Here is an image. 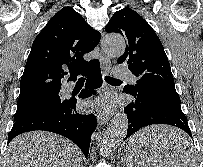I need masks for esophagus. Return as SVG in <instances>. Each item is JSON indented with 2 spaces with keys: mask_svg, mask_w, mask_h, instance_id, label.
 <instances>
[{
  "mask_svg": "<svg viewBox=\"0 0 203 167\" xmlns=\"http://www.w3.org/2000/svg\"><path fill=\"white\" fill-rule=\"evenodd\" d=\"M100 63H101L103 73L105 75L108 74L110 67H111V61L104 53H101ZM108 89H109L108 86L106 84H104V91H108ZM111 117H112V113L111 114H99L97 116L98 124L100 126L106 124L110 120Z\"/></svg>",
  "mask_w": 203,
  "mask_h": 167,
  "instance_id": "34e87169",
  "label": "esophagus"
}]
</instances>
